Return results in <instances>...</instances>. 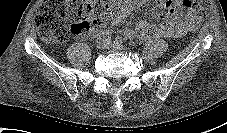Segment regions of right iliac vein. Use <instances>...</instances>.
<instances>
[{
  "label": "right iliac vein",
  "mask_w": 227,
  "mask_h": 133,
  "mask_svg": "<svg viewBox=\"0 0 227 133\" xmlns=\"http://www.w3.org/2000/svg\"><path fill=\"white\" fill-rule=\"evenodd\" d=\"M109 46V44L105 41V40H99L97 42V48L99 50H104V49H107Z\"/></svg>",
  "instance_id": "obj_1"
}]
</instances>
